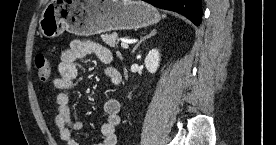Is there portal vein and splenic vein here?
I'll list each match as a JSON object with an SVG mask.
<instances>
[{"label": "portal vein and splenic vein", "instance_id": "1", "mask_svg": "<svg viewBox=\"0 0 276 145\" xmlns=\"http://www.w3.org/2000/svg\"><path fill=\"white\" fill-rule=\"evenodd\" d=\"M121 47L124 48V49H128L129 45L126 42H122Z\"/></svg>", "mask_w": 276, "mask_h": 145}]
</instances>
